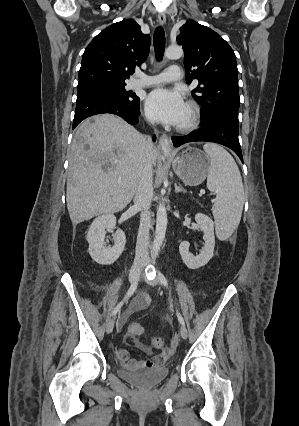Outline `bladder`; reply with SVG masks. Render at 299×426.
<instances>
[{
	"label": "bladder",
	"mask_w": 299,
	"mask_h": 426,
	"mask_svg": "<svg viewBox=\"0 0 299 426\" xmlns=\"http://www.w3.org/2000/svg\"><path fill=\"white\" fill-rule=\"evenodd\" d=\"M169 374L166 366L139 370L120 369L118 375L125 381L139 387L151 388L162 382Z\"/></svg>",
	"instance_id": "bladder-1"
}]
</instances>
